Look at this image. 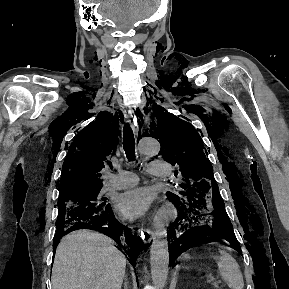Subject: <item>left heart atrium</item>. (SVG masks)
<instances>
[{
  "label": "left heart atrium",
  "instance_id": "obj_1",
  "mask_svg": "<svg viewBox=\"0 0 289 289\" xmlns=\"http://www.w3.org/2000/svg\"><path fill=\"white\" fill-rule=\"evenodd\" d=\"M154 194L148 188H135L121 193L116 198L117 210L126 218L137 219L151 208Z\"/></svg>",
  "mask_w": 289,
  "mask_h": 289
}]
</instances>
